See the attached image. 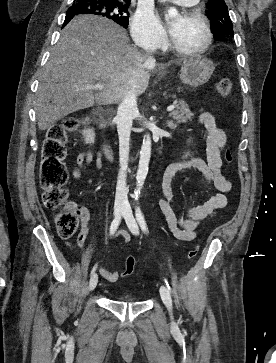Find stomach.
<instances>
[{"mask_svg":"<svg viewBox=\"0 0 276 363\" xmlns=\"http://www.w3.org/2000/svg\"><path fill=\"white\" fill-rule=\"evenodd\" d=\"M215 66L210 59L193 58L186 60L181 69L180 79L184 84L198 87L208 82Z\"/></svg>","mask_w":276,"mask_h":363,"instance_id":"stomach-1","label":"stomach"}]
</instances>
